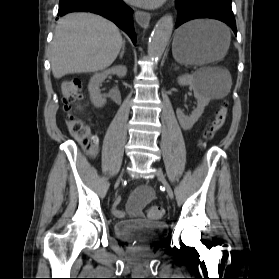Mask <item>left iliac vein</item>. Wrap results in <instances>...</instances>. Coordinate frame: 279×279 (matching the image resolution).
<instances>
[{
    "mask_svg": "<svg viewBox=\"0 0 279 279\" xmlns=\"http://www.w3.org/2000/svg\"><path fill=\"white\" fill-rule=\"evenodd\" d=\"M155 174H156L157 178L161 181L163 186L165 187V190H166L167 195L169 196V198L173 199L174 198V192H173L170 184L168 183L163 171L160 168H156Z\"/></svg>",
    "mask_w": 279,
    "mask_h": 279,
    "instance_id": "left-iliac-vein-1",
    "label": "left iliac vein"
}]
</instances>
